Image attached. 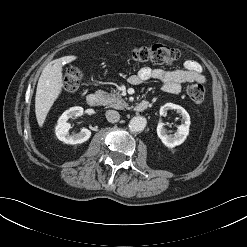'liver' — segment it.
I'll return each mask as SVG.
<instances>
[{
    "mask_svg": "<svg viewBox=\"0 0 247 247\" xmlns=\"http://www.w3.org/2000/svg\"><path fill=\"white\" fill-rule=\"evenodd\" d=\"M76 59L77 57L74 55L64 56L51 61L43 69L38 80L35 97V114L40 127L43 126L49 110L61 94L62 67Z\"/></svg>",
    "mask_w": 247,
    "mask_h": 247,
    "instance_id": "6515ba94",
    "label": "liver"
}]
</instances>
